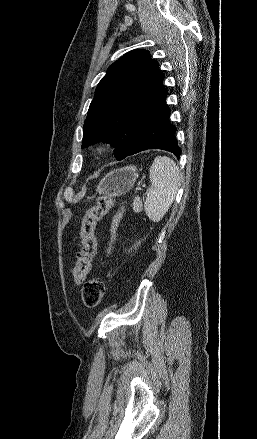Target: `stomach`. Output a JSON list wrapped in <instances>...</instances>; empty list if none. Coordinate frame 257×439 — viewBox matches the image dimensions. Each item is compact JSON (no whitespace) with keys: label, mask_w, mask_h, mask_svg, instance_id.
<instances>
[{"label":"stomach","mask_w":257,"mask_h":439,"mask_svg":"<svg viewBox=\"0 0 257 439\" xmlns=\"http://www.w3.org/2000/svg\"><path fill=\"white\" fill-rule=\"evenodd\" d=\"M138 177L136 166H127L110 171L98 184L100 195L119 197L128 193Z\"/></svg>","instance_id":"0dacf381"}]
</instances>
